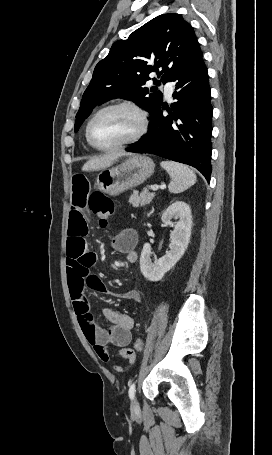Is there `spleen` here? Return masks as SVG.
I'll list each match as a JSON object with an SVG mask.
<instances>
[{
    "mask_svg": "<svg viewBox=\"0 0 272 455\" xmlns=\"http://www.w3.org/2000/svg\"><path fill=\"white\" fill-rule=\"evenodd\" d=\"M161 166L171 177L168 186L171 193H181L196 183L195 173L186 165L173 161H162Z\"/></svg>",
    "mask_w": 272,
    "mask_h": 455,
    "instance_id": "1",
    "label": "spleen"
}]
</instances>
